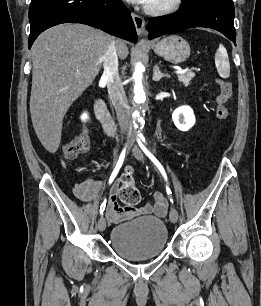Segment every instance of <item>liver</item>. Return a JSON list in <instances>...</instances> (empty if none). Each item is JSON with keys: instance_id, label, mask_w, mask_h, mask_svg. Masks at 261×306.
I'll use <instances>...</instances> for the list:
<instances>
[{"instance_id": "1", "label": "liver", "mask_w": 261, "mask_h": 306, "mask_svg": "<svg viewBox=\"0 0 261 306\" xmlns=\"http://www.w3.org/2000/svg\"><path fill=\"white\" fill-rule=\"evenodd\" d=\"M112 37L83 24H61L44 31L34 42L30 114L35 133L50 152L60 145L63 118L96 78ZM121 59L124 41L115 43Z\"/></svg>"}]
</instances>
